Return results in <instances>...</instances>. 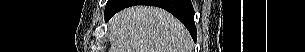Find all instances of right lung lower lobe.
I'll return each mask as SVG.
<instances>
[{
	"label": "right lung lower lobe",
	"mask_w": 305,
	"mask_h": 52,
	"mask_svg": "<svg viewBox=\"0 0 305 52\" xmlns=\"http://www.w3.org/2000/svg\"><path fill=\"white\" fill-rule=\"evenodd\" d=\"M132 5H152L161 7L177 17L188 29L196 41L194 24V9L190 0H108L105 9V19L109 20L115 13Z\"/></svg>",
	"instance_id": "obj_1"
}]
</instances>
